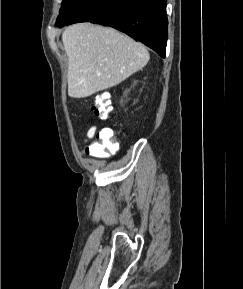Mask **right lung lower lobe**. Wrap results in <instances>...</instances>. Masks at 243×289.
I'll use <instances>...</instances> for the list:
<instances>
[{"instance_id":"right-lung-lower-lobe-1","label":"right lung lower lobe","mask_w":243,"mask_h":289,"mask_svg":"<svg viewBox=\"0 0 243 289\" xmlns=\"http://www.w3.org/2000/svg\"><path fill=\"white\" fill-rule=\"evenodd\" d=\"M77 22L111 26L165 57L166 0H82L68 19L56 25Z\"/></svg>"}]
</instances>
